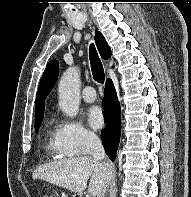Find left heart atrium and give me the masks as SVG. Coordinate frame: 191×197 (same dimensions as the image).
<instances>
[{
    "label": "left heart atrium",
    "instance_id": "39dd6f15",
    "mask_svg": "<svg viewBox=\"0 0 191 197\" xmlns=\"http://www.w3.org/2000/svg\"><path fill=\"white\" fill-rule=\"evenodd\" d=\"M87 120L92 128L94 129L101 128L104 124V116L102 110L97 106H93L89 108L87 112Z\"/></svg>",
    "mask_w": 191,
    "mask_h": 197
}]
</instances>
